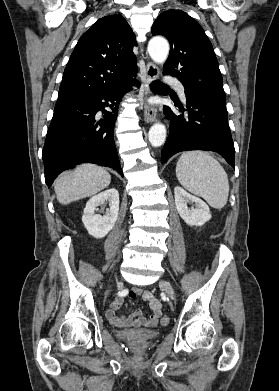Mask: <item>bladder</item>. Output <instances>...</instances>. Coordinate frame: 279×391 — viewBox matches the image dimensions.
Returning a JSON list of instances; mask_svg holds the SVG:
<instances>
[{
  "instance_id": "31cf9c89",
  "label": "bladder",
  "mask_w": 279,
  "mask_h": 391,
  "mask_svg": "<svg viewBox=\"0 0 279 391\" xmlns=\"http://www.w3.org/2000/svg\"><path fill=\"white\" fill-rule=\"evenodd\" d=\"M159 333L151 330H122L117 336L127 343L144 344L154 340Z\"/></svg>"
}]
</instances>
